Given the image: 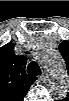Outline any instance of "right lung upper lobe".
Masks as SVG:
<instances>
[{"label":"right lung upper lobe","instance_id":"1","mask_svg":"<svg viewBox=\"0 0 69 101\" xmlns=\"http://www.w3.org/2000/svg\"><path fill=\"white\" fill-rule=\"evenodd\" d=\"M16 64L10 63L11 67L2 69V94L10 99L23 97L29 86L33 83L34 77H29L24 72L25 57L18 56ZM7 69V71H6Z\"/></svg>","mask_w":69,"mask_h":101}]
</instances>
